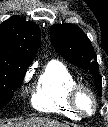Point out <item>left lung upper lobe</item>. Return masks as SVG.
Instances as JSON below:
<instances>
[{
    "instance_id": "1",
    "label": "left lung upper lobe",
    "mask_w": 108,
    "mask_h": 127,
    "mask_svg": "<svg viewBox=\"0 0 108 127\" xmlns=\"http://www.w3.org/2000/svg\"><path fill=\"white\" fill-rule=\"evenodd\" d=\"M52 45L64 58L76 66L90 71L95 78V86L101 95V76L98 72L96 54L91 41L74 24H56L51 27Z\"/></svg>"
}]
</instances>
